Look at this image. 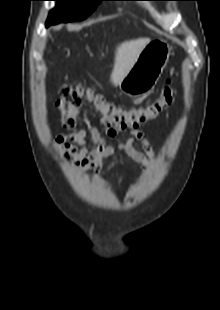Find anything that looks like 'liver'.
I'll use <instances>...</instances> for the list:
<instances>
[{
    "mask_svg": "<svg viewBox=\"0 0 220 310\" xmlns=\"http://www.w3.org/2000/svg\"><path fill=\"white\" fill-rule=\"evenodd\" d=\"M149 42V38H139L125 41L117 47L114 67L111 73V82L113 85H119Z\"/></svg>",
    "mask_w": 220,
    "mask_h": 310,
    "instance_id": "obj_1",
    "label": "liver"
}]
</instances>
